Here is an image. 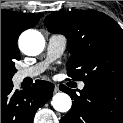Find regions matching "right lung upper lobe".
Masks as SVG:
<instances>
[{"label":"right lung upper lobe","mask_w":123,"mask_h":123,"mask_svg":"<svg viewBox=\"0 0 123 123\" xmlns=\"http://www.w3.org/2000/svg\"><path fill=\"white\" fill-rule=\"evenodd\" d=\"M43 14H26L15 11L1 10V29H6L11 37L18 40L26 29L35 26Z\"/></svg>","instance_id":"1"}]
</instances>
